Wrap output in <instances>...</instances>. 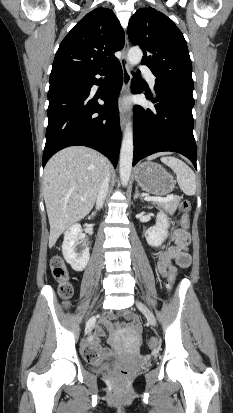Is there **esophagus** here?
I'll return each instance as SVG.
<instances>
[{"mask_svg": "<svg viewBox=\"0 0 233 413\" xmlns=\"http://www.w3.org/2000/svg\"><path fill=\"white\" fill-rule=\"evenodd\" d=\"M128 50H129V41H128V37L126 36L125 44L122 50V57L120 59V64H121L122 73H123V85H122L121 96H120V101H119V118H120V125L122 129H124L127 124V111H126V106L124 103V97L129 90L130 82H131V74L129 71V64L127 61Z\"/></svg>", "mask_w": 233, "mask_h": 413, "instance_id": "esophagus-1", "label": "esophagus"}]
</instances>
